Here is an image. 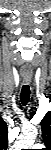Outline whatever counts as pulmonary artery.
Wrapping results in <instances>:
<instances>
[{
    "label": "pulmonary artery",
    "mask_w": 51,
    "mask_h": 150,
    "mask_svg": "<svg viewBox=\"0 0 51 150\" xmlns=\"http://www.w3.org/2000/svg\"><path fill=\"white\" fill-rule=\"evenodd\" d=\"M34 147H41V145H39V144H35V145H34Z\"/></svg>",
    "instance_id": "1"
}]
</instances>
